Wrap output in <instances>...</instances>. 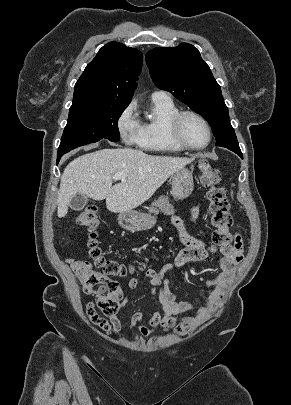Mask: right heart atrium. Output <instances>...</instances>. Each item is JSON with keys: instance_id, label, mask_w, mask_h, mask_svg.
<instances>
[{"instance_id": "1", "label": "right heart atrium", "mask_w": 291, "mask_h": 405, "mask_svg": "<svg viewBox=\"0 0 291 405\" xmlns=\"http://www.w3.org/2000/svg\"><path fill=\"white\" fill-rule=\"evenodd\" d=\"M117 130L122 141L127 145L137 144L140 132V122L137 118L135 106L127 105L117 118Z\"/></svg>"}]
</instances>
